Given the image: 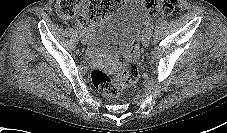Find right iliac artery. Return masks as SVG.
<instances>
[{
	"label": "right iliac artery",
	"mask_w": 227,
	"mask_h": 133,
	"mask_svg": "<svg viewBox=\"0 0 227 133\" xmlns=\"http://www.w3.org/2000/svg\"><path fill=\"white\" fill-rule=\"evenodd\" d=\"M75 29L77 32L83 33L82 27L79 24L75 25Z\"/></svg>",
	"instance_id": "1"
}]
</instances>
